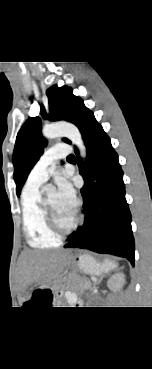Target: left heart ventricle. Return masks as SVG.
Segmentation results:
<instances>
[{
	"mask_svg": "<svg viewBox=\"0 0 152 369\" xmlns=\"http://www.w3.org/2000/svg\"><path fill=\"white\" fill-rule=\"evenodd\" d=\"M46 201L62 227L66 228L72 224L75 218V213L68 212L62 208L57 194L48 196Z\"/></svg>",
	"mask_w": 152,
	"mask_h": 369,
	"instance_id": "left-heart-ventricle-1",
	"label": "left heart ventricle"
}]
</instances>
